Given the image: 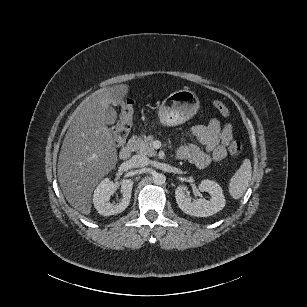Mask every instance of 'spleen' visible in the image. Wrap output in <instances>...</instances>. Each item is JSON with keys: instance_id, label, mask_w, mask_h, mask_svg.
Here are the masks:
<instances>
[{"instance_id": "3e777b00", "label": "spleen", "mask_w": 307, "mask_h": 307, "mask_svg": "<svg viewBox=\"0 0 307 307\" xmlns=\"http://www.w3.org/2000/svg\"><path fill=\"white\" fill-rule=\"evenodd\" d=\"M251 179V163L245 160L240 169L234 174L230 181V193L233 198L241 197L249 186Z\"/></svg>"}]
</instances>
